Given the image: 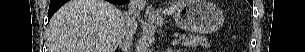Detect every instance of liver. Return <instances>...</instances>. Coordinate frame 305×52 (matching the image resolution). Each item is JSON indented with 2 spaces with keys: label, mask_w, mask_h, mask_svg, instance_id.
I'll return each mask as SVG.
<instances>
[{
  "label": "liver",
  "mask_w": 305,
  "mask_h": 52,
  "mask_svg": "<svg viewBox=\"0 0 305 52\" xmlns=\"http://www.w3.org/2000/svg\"><path fill=\"white\" fill-rule=\"evenodd\" d=\"M185 2L179 1L163 14L175 13ZM124 27V14L111 3L70 0L50 20L48 52H115Z\"/></svg>",
  "instance_id": "liver-1"
}]
</instances>
